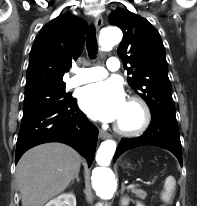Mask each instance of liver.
Returning <instances> with one entry per match:
<instances>
[{
	"label": "liver",
	"instance_id": "1",
	"mask_svg": "<svg viewBox=\"0 0 197 206\" xmlns=\"http://www.w3.org/2000/svg\"><path fill=\"white\" fill-rule=\"evenodd\" d=\"M81 161L78 152L62 143H46L28 150L16 168L22 206H44L63 192L79 172Z\"/></svg>",
	"mask_w": 197,
	"mask_h": 206
}]
</instances>
